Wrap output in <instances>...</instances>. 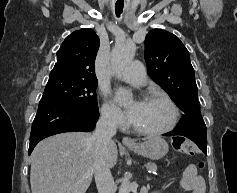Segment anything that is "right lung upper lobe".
<instances>
[{
    "instance_id": "cb5924a9",
    "label": "right lung upper lobe",
    "mask_w": 237,
    "mask_h": 193,
    "mask_svg": "<svg viewBox=\"0 0 237 193\" xmlns=\"http://www.w3.org/2000/svg\"><path fill=\"white\" fill-rule=\"evenodd\" d=\"M99 45V37L92 29L73 32L57 52V63L50 74L97 80L94 65Z\"/></svg>"
}]
</instances>
